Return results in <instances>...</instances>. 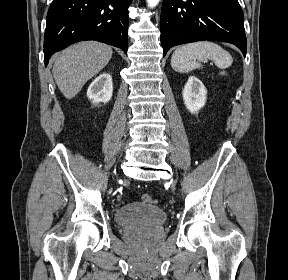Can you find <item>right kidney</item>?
<instances>
[{
    "label": "right kidney",
    "mask_w": 288,
    "mask_h": 280,
    "mask_svg": "<svg viewBox=\"0 0 288 280\" xmlns=\"http://www.w3.org/2000/svg\"><path fill=\"white\" fill-rule=\"evenodd\" d=\"M113 93L112 77L108 73L99 75L88 87L87 97L93 103H107Z\"/></svg>",
    "instance_id": "obj_1"
}]
</instances>
